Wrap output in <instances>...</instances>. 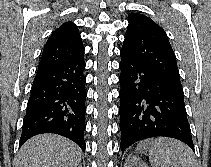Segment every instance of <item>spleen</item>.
I'll return each instance as SVG.
<instances>
[{
	"instance_id": "1",
	"label": "spleen",
	"mask_w": 211,
	"mask_h": 167,
	"mask_svg": "<svg viewBox=\"0 0 211 167\" xmlns=\"http://www.w3.org/2000/svg\"><path fill=\"white\" fill-rule=\"evenodd\" d=\"M152 167H198L192 150L179 140L161 137L149 150Z\"/></svg>"
}]
</instances>
